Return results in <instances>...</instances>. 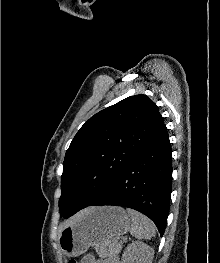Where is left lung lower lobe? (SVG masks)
<instances>
[{"label": "left lung lower lobe", "mask_w": 220, "mask_h": 263, "mask_svg": "<svg viewBox=\"0 0 220 263\" xmlns=\"http://www.w3.org/2000/svg\"><path fill=\"white\" fill-rule=\"evenodd\" d=\"M171 153L164 124L132 156L109 187L88 206L115 205L135 209L148 216L162 236L170 205Z\"/></svg>", "instance_id": "0a47b994"}]
</instances>
